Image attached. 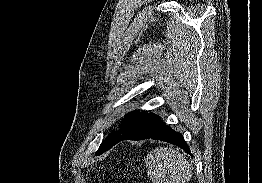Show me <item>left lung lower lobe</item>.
Masks as SVG:
<instances>
[{"instance_id":"0a47b994","label":"left lung lower lobe","mask_w":262,"mask_h":183,"mask_svg":"<svg viewBox=\"0 0 262 183\" xmlns=\"http://www.w3.org/2000/svg\"><path fill=\"white\" fill-rule=\"evenodd\" d=\"M130 139V140H143V139H156L165 142L172 143L182 148L186 153L190 154V149L183 139L182 135L172 130L168 125L163 123L161 118L155 114L134 134L120 139L112 144L108 149L118 142ZM106 152V151H105Z\"/></svg>"}]
</instances>
